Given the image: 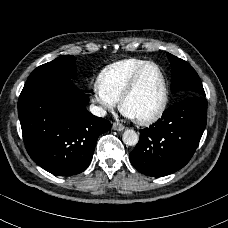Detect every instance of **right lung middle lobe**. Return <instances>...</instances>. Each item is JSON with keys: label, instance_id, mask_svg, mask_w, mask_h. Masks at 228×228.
<instances>
[{"label": "right lung middle lobe", "instance_id": "obj_1", "mask_svg": "<svg viewBox=\"0 0 228 228\" xmlns=\"http://www.w3.org/2000/svg\"><path fill=\"white\" fill-rule=\"evenodd\" d=\"M76 58L71 55L60 56L51 62L37 67L28 77V80H34L40 77L63 75L69 78L76 74ZM27 80V81H28Z\"/></svg>", "mask_w": 228, "mask_h": 228}]
</instances>
